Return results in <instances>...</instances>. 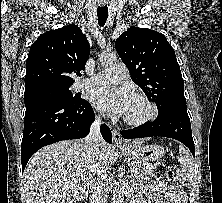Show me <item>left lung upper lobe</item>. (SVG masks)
Wrapping results in <instances>:
<instances>
[{
	"mask_svg": "<svg viewBox=\"0 0 222 203\" xmlns=\"http://www.w3.org/2000/svg\"><path fill=\"white\" fill-rule=\"evenodd\" d=\"M115 47L131 79L158 110L170 103L186 104L180 66L163 34L132 26L117 38Z\"/></svg>",
	"mask_w": 222,
	"mask_h": 203,
	"instance_id": "obj_1",
	"label": "left lung upper lobe"
}]
</instances>
